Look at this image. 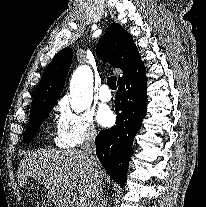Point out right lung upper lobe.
Returning <instances> with one entry per match:
<instances>
[{
    "label": "right lung upper lobe",
    "instance_id": "obj_1",
    "mask_svg": "<svg viewBox=\"0 0 206 207\" xmlns=\"http://www.w3.org/2000/svg\"><path fill=\"white\" fill-rule=\"evenodd\" d=\"M96 53L101 60L122 69L123 75L119 79L129 74L141 62L133 38L117 23L112 24L100 39ZM72 55L71 48H65L55 55L37 86L31 111L43 105L57 103L71 65Z\"/></svg>",
    "mask_w": 206,
    "mask_h": 207
}]
</instances>
